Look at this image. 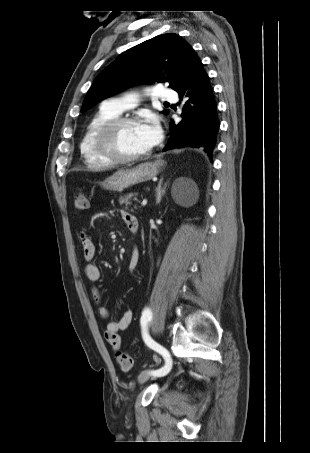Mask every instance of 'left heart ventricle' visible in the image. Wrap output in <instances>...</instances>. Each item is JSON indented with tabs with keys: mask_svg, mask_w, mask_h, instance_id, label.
<instances>
[{
	"mask_svg": "<svg viewBox=\"0 0 310 453\" xmlns=\"http://www.w3.org/2000/svg\"><path fill=\"white\" fill-rule=\"evenodd\" d=\"M115 152L122 156H132L149 150L140 130V124L126 125L118 130L113 140Z\"/></svg>",
	"mask_w": 310,
	"mask_h": 453,
	"instance_id": "1",
	"label": "left heart ventricle"
}]
</instances>
